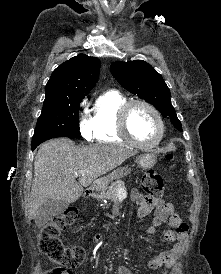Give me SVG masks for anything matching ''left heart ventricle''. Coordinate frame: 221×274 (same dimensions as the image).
<instances>
[{"label": "left heart ventricle", "mask_w": 221, "mask_h": 274, "mask_svg": "<svg viewBox=\"0 0 221 274\" xmlns=\"http://www.w3.org/2000/svg\"><path fill=\"white\" fill-rule=\"evenodd\" d=\"M129 130L139 142L150 144L159 133V126L155 116L144 106H134L129 114Z\"/></svg>", "instance_id": "b2bd125f"}]
</instances>
